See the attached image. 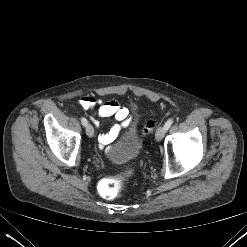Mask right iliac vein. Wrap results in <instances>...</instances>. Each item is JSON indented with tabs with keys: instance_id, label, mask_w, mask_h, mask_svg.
<instances>
[{
	"instance_id": "1",
	"label": "right iliac vein",
	"mask_w": 247,
	"mask_h": 247,
	"mask_svg": "<svg viewBox=\"0 0 247 247\" xmlns=\"http://www.w3.org/2000/svg\"><path fill=\"white\" fill-rule=\"evenodd\" d=\"M86 134L88 135V137H93L94 135V128L91 124H87L86 126Z\"/></svg>"
}]
</instances>
